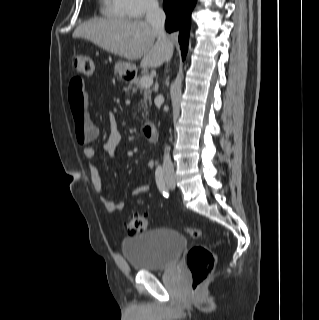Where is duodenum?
I'll use <instances>...</instances> for the list:
<instances>
[{"label":"duodenum","instance_id":"410a0bca","mask_svg":"<svg viewBox=\"0 0 319 320\" xmlns=\"http://www.w3.org/2000/svg\"><path fill=\"white\" fill-rule=\"evenodd\" d=\"M143 133L149 142H156L158 133L155 124L147 123L143 126Z\"/></svg>","mask_w":319,"mask_h":320}]
</instances>
